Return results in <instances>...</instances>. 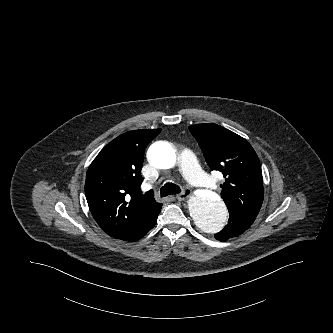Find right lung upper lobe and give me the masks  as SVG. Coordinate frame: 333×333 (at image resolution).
<instances>
[{"label":"right lung upper lobe","instance_id":"cb5924a9","mask_svg":"<svg viewBox=\"0 0 333 333\" xmlns=\"http://www.w3.org/2000/svg\"><path fill=\"white\" fill-rule=\"evenodd\" d=\"M161 129L126 132L108 143L88 168L85 195L92 216L110 236H132L161 204L153 192L141 195L140 174L146 146Z\"/></svg>","mask_w":333,"mask_h":333}]
</instances>
